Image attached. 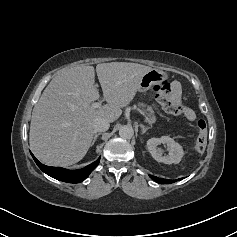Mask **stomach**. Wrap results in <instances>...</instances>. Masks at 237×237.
I'll list each match as a JSON object with an SVG mask.
<instances>
[{
  "mask_svg": "<svg viewBox=\"0 0 237 237\" xmlns=\"http://www.w3.org/2000/svg\"><path fill=\"white\" fill-rule=\"evenodd\" d=\"M167 79H168L167 73L163 72L162 70L151 69L150 71H148L142 76L139 82L138 91L146 92L153 85H156Z\"/></svg>",
  "mask_w": 237,
  "mask_h": 237,
  "instance_id": "0dacf381",
  "label": "stomach"
}]
</instances>
